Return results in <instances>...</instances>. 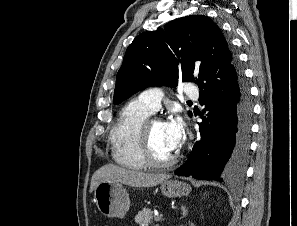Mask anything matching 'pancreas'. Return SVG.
Returning <instances> with one entry per match:
<instances>
[{"instance_id": "cf45deb5", "label": "pancreas", "mask_w": 297, "mask_h": 226, "mask_svg": "<svg viewBox=\"0 0 297 226\" xmlns=\"http://www.w3.org/2000/svg\"><path fill=\"white\" fill-rule=\"evenodd\" d=\"M153 219V212L149 208H144L135 216L134 221L140 226H148Z\"/></svg>"}]
</instances>
